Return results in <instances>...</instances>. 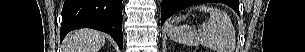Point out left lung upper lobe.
<instances>
[{
	"label": "left lung upper lobe",
	"mask_w": 305,
	"mask_h": 52,
	"mask_svg": "<svg viewBox=\"0 0 305 52\" xmlns=\"http://www.w3.org/2000/svg\"><path fill=\"white\" fill-rule=\"evenodd\" d=\"M219 3H225L231 7H233L234 3H236L237 0H216Z\"/></svg>",
	"instance_id": "1"
}]
</instances>
